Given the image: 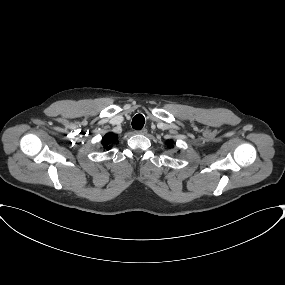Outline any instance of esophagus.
I'll return each mask as SVG.
<instances>
[{
  "label": "esophagus",
  "instance_id": "esophagus-1",
  "mask_svg": "<svg viewBox=\"0 0 285 285\" xmlns=\"http://www.w3.org/2000/svg\"><path fill=\"white\" fill-rule=\"evenodd\" d=\"M136 133L145 135V134H147V129H146V128H143V129H141V130H137Z\"/></svg>",
  "mask_w": 285,
  "mask_h": 285
}]
</instances>
